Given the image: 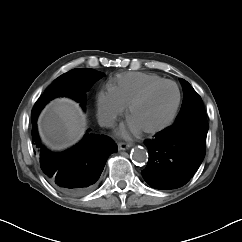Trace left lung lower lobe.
Listing matches in <instances>:
<instances>
[{"instance_id":"0a47b994","label":"left lung lower lobe","mask_w":242,"mask_h":242,"mask_svg":"<svg viewBox=\"0 0 242 242\" xmlns=\"http://www.w3.org/2000/svg\"><path fill=\"white\" fill-rule=\"evenodd\" d=\"M207 132L183 134L158 132L145 140L149 160L141 172L145 181L155 189H176L185 185L197 171L205 156Z\"/></svg>"}]
</instances>
